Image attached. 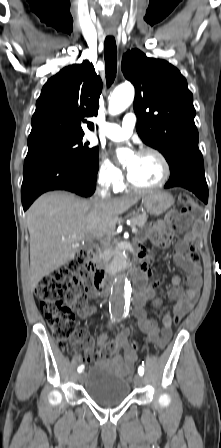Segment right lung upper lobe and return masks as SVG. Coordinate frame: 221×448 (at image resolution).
I'll list each match as a JSON object with an SVG mask.
<instances>
[{"label": "right lung upper lobe", "instance_id": "1", "mask_svg": "<svg viewBox=\"0 0 221 448\" xmlns=\"http://www.w3.org/2000/svg\"><path fill=\"white\" fill-rule=\"evenodd\" d=\"M102 81L89 61L63 68L43 86L32 117L28 148L84 136L87 117L97 115Z\"/></svg>", "mask_w": 221, "mask_h": 448}]
</instances>
